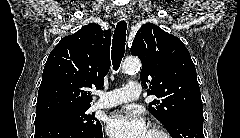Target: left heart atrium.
Listing matches in <instances>:
<instances>
[{
  "label": "left heart atrium",
  "instance_id": "39dd6f15",
  "mask_svg": "<svg viewBox=\"0 0 240 138\" xmlns=\"http://www.w3.org/2000/svg\"><path fill=\"white\" fill-rule=\"evenodd\" d=\"M107 131L113 138H147L144 119L135 111H118L107 122Z\"/></svg>",
  "mask_w": 240,
  "mask_h": 138
}]
</instances>
